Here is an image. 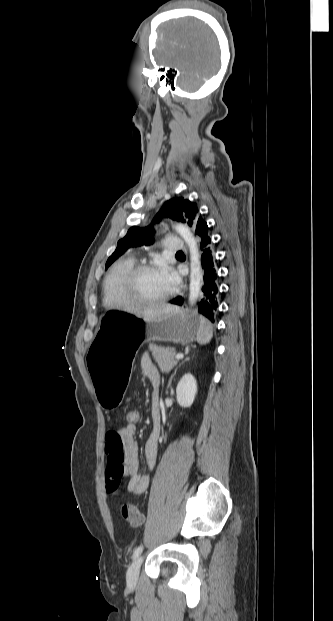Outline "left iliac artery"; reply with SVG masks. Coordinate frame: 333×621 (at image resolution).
<instances>
[{
    "label": "left iliac artery",
    "instance_id": "44dca946",
    "mask_svg": "<svg viewBox=\"0 0 333 621\" xmlns=\"http://www.w3.org/2000/svg\"><path fill=\"white\" fill-rule=\"evenodd\" d=\"M143 550V546L137 547L133 552V559L137 558Z\"/></svg>",
    "mask_w": 333,
    "mask_h": 621
}]
</instances>
